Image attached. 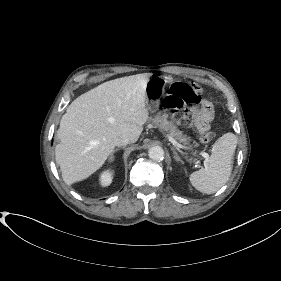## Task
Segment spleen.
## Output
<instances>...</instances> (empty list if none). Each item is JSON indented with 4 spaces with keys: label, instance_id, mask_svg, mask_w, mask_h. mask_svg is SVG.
<instances>
[{
    "label": "spleen",
    "instance_id": "obj_1",
    "mask_svg": "<svg viewBox=\"0 0 281 281\" xmlns=\"http://www.w3.org/2000/svg\"><path fill=\"white\" fill-rule=\"evenodd\" d=\"M236 146L237 137L233 133L221 136L214 144L204 168L190 175L193 187L202 193L212 194L224 186L231 175Z\"/></svg>",
    "mask_w": 281,
    "mask_h": 281
}]
</instances>
